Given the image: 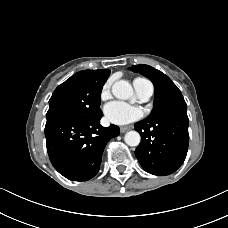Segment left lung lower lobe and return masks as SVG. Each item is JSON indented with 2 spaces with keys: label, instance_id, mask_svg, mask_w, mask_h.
Masks as SVG:
<instances>
[{
  "label": "left lung lower lobe",
  "instance_id": "obj_1",
  "mask_svg": "<svg viewBox=\"0 0 228 228\" xmlns=\"http://www.w3.org/2000/svg\"><path fill=\"white\" fill-rule=\"evenodd\" d=\"M188 125L187 107L172 110L155 121L135 124L141 135L135 155L145 171L165 176L182 165L188 150Z\"/></svg>",
  "mask_w": 228,
  "mask_h": 228
}]
</instances>
